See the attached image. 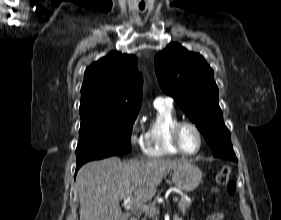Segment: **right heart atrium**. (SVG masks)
<instances>
[{
    "label": "right heart atrium",
    "mask_w": 281,
    "mask_h": 220,
    "mask_svg": "<svg viewBox=\"0 0 281 220\" xmlns=\"http://www.w3.org/2000/svg\"><path fill=\"white\" fill-rule=\"evenodd\" d=\"M141 135L142 127L140 124V117L137 116L131 125L130 140L132 144L140 146L142 144Z\"/></svg>",
    "instance_id": "right-heart-atrium-1"
}]
</instances>
